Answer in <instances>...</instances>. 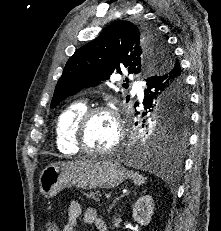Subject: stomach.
<instances>
[{
    "mask_svg": "<svg viewBox=\"0 0 221 231\" xmlns=\"http://www.w3.org/2000/svg\"><path fill=\"white\" fill-rule=\"evenodd\" d=\"M127 173L113 159L59 162L47 166L39 177L40 193L54 197L66 187L111 189L127 179Z\"/></svg>",
    "mask_w": 221,
    "mask_h": 231,
    "instance_id": "1",
    "label": "stomach"
}]
</instances>
